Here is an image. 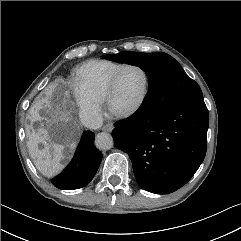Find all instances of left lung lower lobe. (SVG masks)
I'll return each instance as SVG.
<instances>
[{
    "label": "left lung lower lobe",
    "mask_w": 241,
    "mask_h": 241,
    "mask_svg": "<svg viewBox=\"0 0 241 241\" xmlns=\"http://www.w3.org/2000/svg\"><path fill=\"white\" fill-rule=\"evenodd\" d=\"M209 114L203 96L171 101L151 88L140 108L115 123V146L126 152L145 190L172 193L195 174L206 154Z\"/></svg>",
    "instance_id": "left-lung-lower-lobe-1"
}]
</instances>
